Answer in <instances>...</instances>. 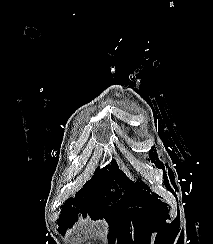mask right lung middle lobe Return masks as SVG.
Instances as JSON below:
<instances>
[{"label":"right lung middle lobe","mask_w":213,"mask_h":244,"mask_svg":"<svg viewBox=\"0 0 213 244\" xmlns=\"http://www.w3.org/2000/svg\"><path fill=\"white\" fill-rule=\"evenodd\" d=\"M122 175V171L119 170V167L115 160H112L111 165L106 166V168L100 169L97 168L95 174L89 183L98 182L100 179H109L115 178V176Z\"/></svg>","instance_id":"right-lung-middle-lobe-1"}]
</instances>
